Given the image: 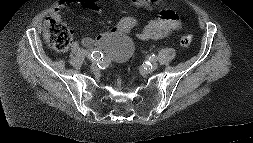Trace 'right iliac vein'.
I'll use <instances>...</instances> for the list:
<instances>
[{
	"label": "right iliac vein",
	"instance_id": "obj_1",
	"mask_svg": "<svg viewBox=\"0 0 253 143\" xmlns=\"http://www.w3.org/2000/svg\"><path fill=\"white\" fill-rule=\"evenodd\" d=\"M96 67H97V66H96V63H95V62H93V63L91 64V69H93V70H94V69H96Z\"/></svg>",
	"mask_w": 253,
	"mask_h": 143
}]
</instances>
